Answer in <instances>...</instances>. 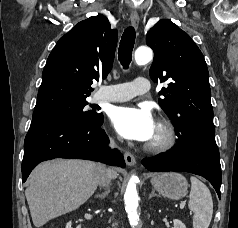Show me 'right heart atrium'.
I'll list each match as a JSON object with an SVG mask.
<instances>
[{
  "instance_id": "d8ad5b80",
  "label": "right heart atrium",
  "mask_w": 238,
  "mask_h": 228,
  "mask_svg": "<svg viewBox=\"0 0 238 228\" xmlns=\"http://www.w3.org/2000/svg\"><path fill=\"white\" fill-rule=\"evenodd\" d=\"M110 140H111V141H114V140H115V138H114L113 136H111V137H110Z\"/></svg>"
}]
</instances>
